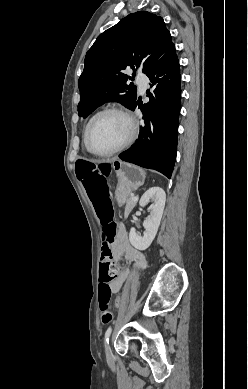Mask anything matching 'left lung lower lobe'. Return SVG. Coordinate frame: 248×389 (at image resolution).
<instances>
[{
	"label": "left lung lower lobe",
	"instance_id": "0a47b994",
	"mask_svg": "<svg viewBox=\"0 0 248 389\" xmlns=\"http://www.w3.org/2000/svg\"><path fill=\"white\" fill-rule=\"evenodd\" d=\"M146 75L154 88L147 90L149 102L138 101L130 108L143 112L144 124L140 127L135 144L121 153L119 158L138 166L154 169L170 178L177 152L178 117L181 108V76L175 45L173 44L148 70Z\"/></svg>",
	"mask_w": 248,
	"mask_h": 389
}]
</instances>
